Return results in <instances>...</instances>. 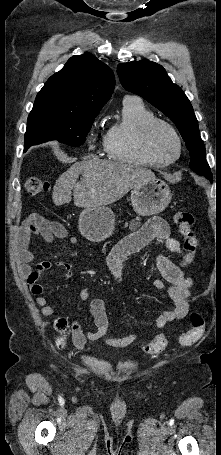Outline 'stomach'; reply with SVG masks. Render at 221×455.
Returning <instances> with one entry per match:
<instances>
[{
	"label": "stomach",
	"instance_id": "stomach-1",
	"mask_svg": "<svg viewBox=\"0 0 221 455\" xmlns=\"http://www.w3.org/2000/svg\"><path fill=\"white\" fill-rule=\"evenodd\" d=\"M131 203L138 215H154L162 212L170 203L172 193L169 186L156 177L137 184L131 192ZM115 216L105 206L85 208L79 216L81 234L91 242H102L114 232Z\"/></svg>",
	"mask_w": 221,
	"mask_h": 455
}]
</instances>
